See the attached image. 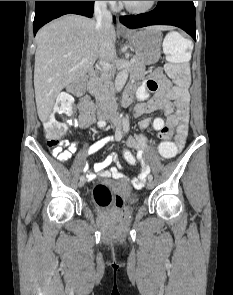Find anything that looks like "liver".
<instances>
[{
    "mask_svg": "<svg viewBox=\"0 0 233 295\" xmlns=\"http://www.w3.org/2000/svg\"><path fill=\"white\" fill-rule=\"evenodd\" d=\"M167 30V26H158ZM109 37L116 41L114 27ZM34 88L37 112L46 121L58 94L93 67L100 52V32L93 19L67 14L42 27L36 34ZM87 61L83 62L82 59Z\"/></svg>",
    "mask_w": 233,
    "mask_h": 295,
    "instance_id": "obj_1",
    "label": "liver"
}]
</instances>
